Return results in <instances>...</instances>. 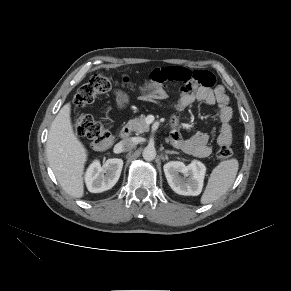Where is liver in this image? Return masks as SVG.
<instances>
[{
  "mask_svg": "<svg viewBox=\"0 0 291 291\" xmlns=\"http://www.w3.org/2000/svg\"><path fill=\"white\" fill-rule=\"evenodd\" d=\"M46 153L49 165L64 191L75 198L83 197L87 150L74 133L70 103L60 109L51 124Z\"/></svg>",
  "mask_w": 291,
  "mask_h": 291,
  "instance_id": "1",
  "label": "liver"
}]
</instances>
